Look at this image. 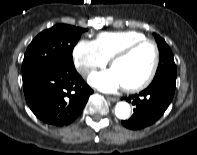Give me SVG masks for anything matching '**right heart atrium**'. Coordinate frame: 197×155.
Segmentation results:
<instances>
[{
	"mask_svg": "<svg viewBox=\"0 0 197 155\" xmlns=\"http://www.w3.org/2000/svg\"><path fill=\"white\" fill-rule=\"evenodd\" d=\"M73 59L77 71L84 77L108 63V58L102 53L96 42L87 39H81L74 46Z\"/></svg>",
	"mask_w": 197,
	"mask_h": 155,
	"instance_id": "right-heart-atrium-1",
	"label": "right heart atrium"
}]
</instances>
